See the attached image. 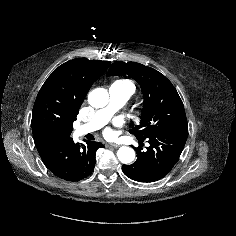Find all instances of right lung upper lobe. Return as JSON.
Masks as SVG:
<instances>
[{
	"mask_svg": "<svg viewBox=\"0 0 236 236\" xmlns=\"http://www.w3.org/2000/svg\"><path fill=\"white\" fill-rule=\"evenodd\" d=\"M111 62L76 58L55 69L41 87L32 111L33 139L70 138L90 86Z\"/></svg>",
	"mask_w": 236,
	"mask_h": 236,
	"instance_id": "right-lung-upper-lobe-1",
	"label": "right lung upper lobe"
}]
</instances>
